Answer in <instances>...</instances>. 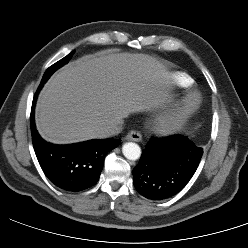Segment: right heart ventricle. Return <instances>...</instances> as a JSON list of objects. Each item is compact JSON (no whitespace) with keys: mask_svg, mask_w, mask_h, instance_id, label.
I'll use <instances>...</instances> for the list:
<instances>
[{"mask_svg":"<svg viewBox=\"0 0 248 248\" xmlns=\"http://www.w3.org/2000/svg\"><path fill=\"white\" fill-rule=\"evenodd\" d=\"M174 84L180 88H189L192 85V80L184 73H177L173 77Z\"/></svg>","mask_w":248,"mask_h":248,"instance_id":"right-heart-ventricle-1","label":"right heart ventricle"}]
</instances>
